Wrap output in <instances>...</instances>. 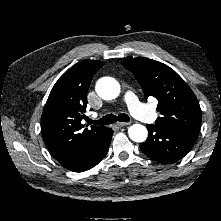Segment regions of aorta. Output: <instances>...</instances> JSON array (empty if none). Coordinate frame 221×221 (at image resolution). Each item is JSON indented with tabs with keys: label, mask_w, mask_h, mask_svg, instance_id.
Returning <instances> with one entry per match:
<instances>
[{
	"label": "aorta",
	"mask_w": 221,
	"mask_h": 221,
	"mask_svg": "<svg viewBox=\"0 0 221 221\" xmlns=\"http://www.w3.org/2000/svg\"><path fill=\"white\" fill-rule=\"evenodd\" d=\"M95 90L99 97L104 100H112L120 94V84L111 77H103L98 80ZM129 137L134 142H144L147 139L148 131L141 124H133L128 129Z\"/></svg>",
	"instance_id": "1"
}]
</instances>
